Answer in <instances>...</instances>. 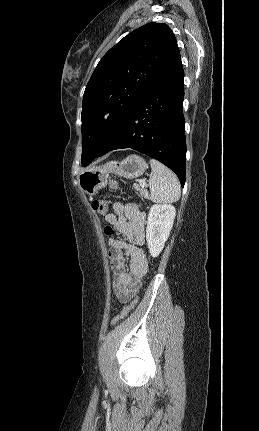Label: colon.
I'll use <instances>...</instances> for the list:
<instances>
[{
  "instance_id": "1",
  "label": "colon",
  "mask_w": 259,
  "mask_h": 431,
  "mask_svg": "<svg viewBox=\"0 0 259 431\" xmlns=\"http://www.w3.org/2000/svg\"><path fill=\"white\" fill-rule=\"evenodd\" d=\"M110 185L112 188H116V183L114 181L110 182ZM93 209L99 213L104 214L108 211L109 203L105 200H97L92 203ZM104 233L106 235H111L113 233V228L111 225H106L104 227ZM137 297L132 298L121 310L120 313H118L112 320V325H117L122 320H124L129 313L135 308L137 304Z\"/></svg>"
}]
</instances>
